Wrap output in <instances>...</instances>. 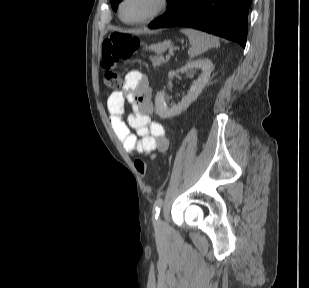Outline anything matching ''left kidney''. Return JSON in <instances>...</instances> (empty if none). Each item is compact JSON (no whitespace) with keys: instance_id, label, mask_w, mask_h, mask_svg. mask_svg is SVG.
I'll return each mask as SVG.
<instances>
[{"instance_id":"obj_1","label":"left kidney","mask_w":309,"mask_h":288,"mask_svg":"<svg viewBox=\"0 0 309 288\" xmlns=\"http://www.w3.org/2000/svg\"><path fill=\"white\" fill-rule=\"evenodd\" d=\"M193 69H201L202 73L196 81L192 83L188 94L182 99L181 103L169 108L165 102V93L160 91L155 97V110L161 118H169L180 114L186 110L189 105L195 101V99L202 92L203 88L208 83L210 74L213 70V63L210 59H197L195 61H189L185 66L176 71H170L168 77L171 79L176 73L184 72Z\"/></svg>"}]
</instances>
